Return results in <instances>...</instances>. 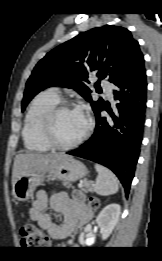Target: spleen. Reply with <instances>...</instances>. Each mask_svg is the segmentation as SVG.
I'll list each match as a JSON object with an SVG mask.
<instances>
[{
	"mask_svg": "<svg viewBox=\"0 0 162 261\" xmlns=\"http://www.w3.org/2000/svg\"><path fill=\"white\" fill-rule=\"evenodd\" d=\"M95 169L98 172L94 191L101 196L115 194L119 189V182L115 174L108 168L95 164Z\"/></svg>",
	"mask_w": 162,
	"mask_h": 261,
	"instance_id": "3e777b00",
	"label": "spleen"
}]
</instances>
